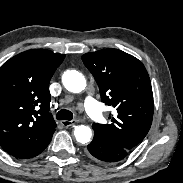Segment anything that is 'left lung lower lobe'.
Listing matches in <instances>:
<instances>
[{
    "mask_svg": "<svg viewBox=\"0 0 183 183\" xmlns=\"http://www.w3.org/2000/svg\"><path fill=\"white\" fill-rule=\"evenodd\" d=\"M129 150L114 144L95 132L92 142L87 146L86 155L100 163H114L127 156Z\"/></svg>",
    "mask_w": 183,
    "mask_h": 183,
    "instance_id": "obj_1",
    "label": "left lung lower lobe"
}]
</instances>
